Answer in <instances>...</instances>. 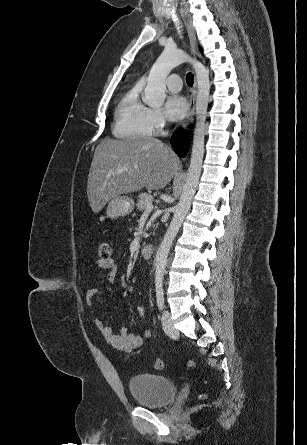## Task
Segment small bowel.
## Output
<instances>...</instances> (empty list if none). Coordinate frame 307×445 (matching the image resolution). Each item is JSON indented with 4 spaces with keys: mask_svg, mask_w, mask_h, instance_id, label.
I'll return each instance as SVG.
<instances>
[{
    "mask_svg": "<svg viewBox=\"0 0 307 445\" xmlns=\"http://www.w3.org/2000/svg\"><path fill=\"white\" fill-rule=\"evenodd\" d=\"M95 264L107 271V277L109 280H114L118 271V263L112 259H98ZM98 294L97 288L90 287L87 289L85 298L88 305L92 306L93 302ZM138 314L141 317L145 316V306L139 305L137 307ZM95 324L105 340L114 348L123 351L129 355H138L145 342L150 336L149 331L143 333H129L126 328L120 329L118 332H114L110 327L106 326L102 320L96 319Z\"/></svg>",
    "mask_w": 307,
    "mask_h": 445,
    "instance_id": "obj_1",
    "label": "small bowel"
}]
</instances>
